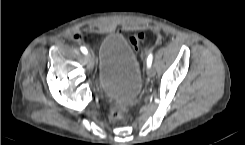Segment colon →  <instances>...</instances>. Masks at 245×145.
I'll list each match as a JSON object with an SVG mask.
<instances>
[{
    "label": "colon",
    "mask_w": 245,
    "mask_h": 145,
    "mask_svg": "<svg viewBox=\"0 0 245 145\" xmlns=\"http://www.w3.org/2000/svg\"><path fill=\"white\" fill-rule=\"evenodd\" d=\"M147 34H149V32L138 31L129 36L128 40L130 41V43L132 44L135 50L139 49L140 44L145 40ZM86 38H87V35L83 33L82 31H76L72 33V35L70 36V39L74 41H83ZM127 111L128 109L124 105L116 106L110 112L111 121L121 122L125 118Z\"/></svg>",
    "instance_id": "5ec220e1"
}]
</instances>
